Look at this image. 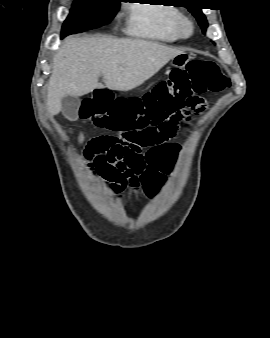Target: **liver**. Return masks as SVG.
<instances>
[{
    "label": "liver",
    "instance_id": "obj_1",
    "mask_svg": "<svg viewBox=\"0 0 270 338\" xmlns=\"http://www.w3.org/2000/svg\"><path fill=\"white\" fill-rule=\"evenodd\" d=\"M180 53L183 51L142 39L68 37L53 58L48 113L57 115L66 95L79 97L104 87L99 83L101 75L108 89L131 90Z\"/></svg>",
    "mask_w": 270,
    "mask_h": 338
}]
</instances>
